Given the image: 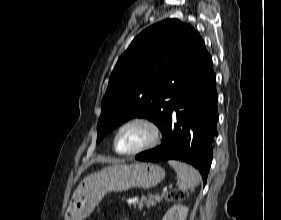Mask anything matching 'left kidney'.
<instances>
[{
	"instance_id": "1",
	"label": "left kidney",
	"mask_w": 281,
	"mask_h": 220,
	"mask_svg": "<svg viewBox=\"0 0 281 220\" xmlns=\"http://www.w3.org/2000/svg\"><path fill=\"white\" fill-rule=\"evenodd\" d=\"M188 211V207L184 205H174L167 211L162 220H186Z\"/></svg>"
}]
</instances>
